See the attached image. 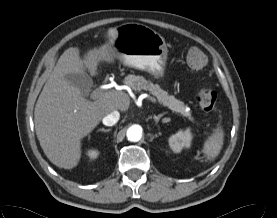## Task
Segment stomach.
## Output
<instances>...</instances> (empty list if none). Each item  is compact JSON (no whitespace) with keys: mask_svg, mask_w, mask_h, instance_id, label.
<instances>
[{"mask_svg":"<svg viewBox=\"0 0 277 218\" xmlns=\"http://www.w3.org/2000/svg\"><path fill=\"white\" fill-rule=\"evenodd\" d=\"M117 35L106 43L125 65L145 70L155 78L163 77L168 49L165 39L152 28L140 23H124L116 28Z\"/></svg>","mask_w":277,"mask_h":218,"instance_id":"stomach-1","label":"stomach"}]
</instances>
